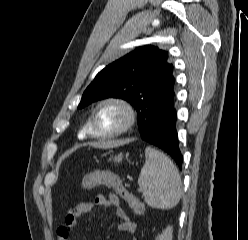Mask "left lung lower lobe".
Listing matches in <instances>:
<instances>
[{
  "instance_id": "1",
  "label": "left lung lower lobe",
  "mask_w": 248,
  "mask_h": 240,
  "mask_svg": "<svg viewBox=\"0 0 248 240\" xmlns=\"http://www.w3.org/2000/svg\"><path fill=\"white\" fill-rule=\"evenodd\" d=\"M176 122L177 113L174 102H171L155 114L147 128L141 132V138L168 153L181 169L183 156L179 149Z\"/></svg>"
}]
</instances>
